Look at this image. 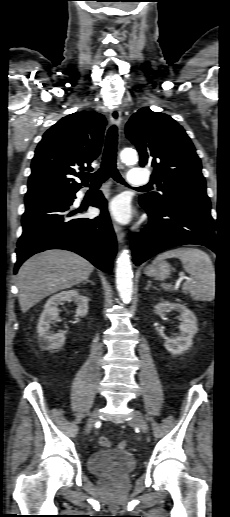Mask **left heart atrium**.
<instances>
[{"instance_id":"39dd6f15","label":"left heart atrium","mask_w":230,"mask_h":517,"mask_svg":"<svg viewBox=\"0 0 230 517\" xmlns=\"http://www.w3.org/2000/svg\"><path fill=\"white\" fill-rule=\"evenodd\" d=\"M110 212L118 221H128L131 217V208L128 200L124 197H116L110 204Z\"/></svg>"}]
</instances>
